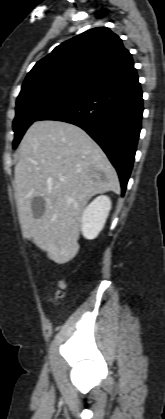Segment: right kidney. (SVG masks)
<instances>
[{
  "instance_id": "right-kidney-1",
  "label": "right kidney",
  "mask_w": 165,
  "mask_h": 419,
  "mask_svg": "<svg viewBox=\"0 0 165 419\" xmlns=\"http://www.w3.org/2000/svg\"><path fill=\"white\" fill-rule=\"evenodd\" d=\"M108 196H98L84 210L81 219V231L86 239H95L103 229L111 210Z\"/></svg>"
}]
</instances>
